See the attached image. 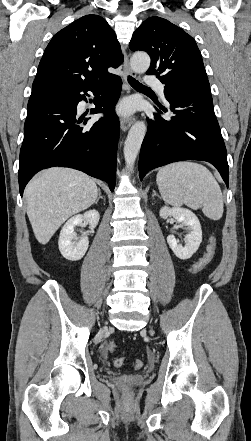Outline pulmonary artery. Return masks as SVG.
I'll return each instance as SVG.
<instances>
[{
    "instance_id": "1",
    "label": "pulmonary artery",
    "mask_w": 251,
    "mask_h": 441,
    "mask_svg": "<svg viewBox=\"0 0 251 441\" xmlns=\"http://www.w3.org/2000/svg\"><path fill=\"white\" fill-rule=\"evenodd\" d=\"M145 82L148 85L154 87L156 89V91L159 93V95L164 98V96H165V88H164V85H163V83L161 81H159L158 79L153 78V77H147L145 79Z\"/></svg>"
}]
</instances>
